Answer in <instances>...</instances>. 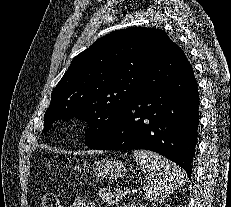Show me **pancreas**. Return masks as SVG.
Masks as SVG:
<instances>
[{"mask_svg":"<svg viewBox=\"0 0 231 207\" xmlns=\"http://www.w3.org/2000/svg\"><path fill=\"white\" fill-rule=\"evenodd\" d=\"M98 195L106 204H109L111 206L117 204L122 199L123 196L120 190L117 189L110 190L106 188L100 189L98 191Z\"/></svg>","mask_w":231,"mask_h":207,"instance_id":"cf45deb5","label":"pancreas"}]
</instances>
